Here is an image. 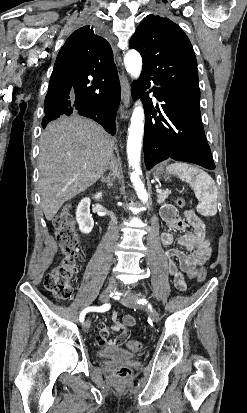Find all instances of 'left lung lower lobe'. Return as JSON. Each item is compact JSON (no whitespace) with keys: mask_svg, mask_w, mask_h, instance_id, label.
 Masks as SVG:
<instances>
[{"mask_svg":"<svg viewBox=\"0 0 247 413\" xmlns=\"http://www.w3.org/2000/svg\"><path fill=\"white\" fill-rule=\"evenodd\" d=\"M151 81L157 87L149 91H154L160 103L155 109L149 92L142 94L146 118L143 151L147 169L168 158L215 169L201 121L199 101L160 86L155 78L144 73L138 82L133 83L132 92L135 95L145 92ZM157 112L159 115L155 116Z\"/></svg>","mask_w":247,"mask_h":413,"instance_id":"1","label":"left lung lower lobe"}]
</instances>
